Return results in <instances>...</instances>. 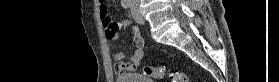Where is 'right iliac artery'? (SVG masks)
Masks as SVG:
<instances>
[{
  "label": "right iliac artery",
  "instance_id": "82829eb1",
  "mask_svg": "<svg viewBox=\"0 0 279 82\" xmlns=\"http://www.w3.org/2000/svg\"><path fill=\"white\" fill-rule=\"evenodd\" d=\"M121 5L123 8H129L131 6L130 0H121Z\"/></svg>",
  "mask_w": 279,
  "mask_h": 82
}]
</instances>
